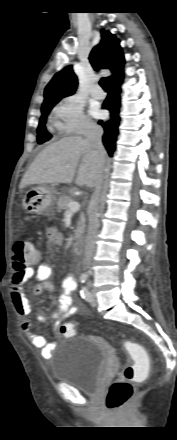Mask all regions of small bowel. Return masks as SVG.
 <instances>
[{"instance_id": "c3829d8e", "label": "small bowel", "mask_w": 177, "mask_h": 440, "mask_svg": "<svg viewBox=\"0 0 177 440\" xmlns=\"http://www.w3.org/2000/svg\"><path fill=\"white\" fill-rule=\"evenodd\" d=\"M47 243L49 246H60L63 244V235L55 228L50 227L46 231ZM34 267H29L23 271H18L12 278L10 290L13 304L17 313L22 317V329L28 335L31 344L41 349L43 357H49L54 349L53 344H48L45 336L32 332V327L41 321L44 316L34 315L32 307L25 294V284L28 280L34 279L37 284L34 293L40 295L44 292L53 293L55 291L54 284L50 281L53 275V269L39 261ZM77 288V282L72 275H68L62 281V294L58 299V310L55 311L51 318L54 325L57 326L64 318L74 313H84L86 309L83 305L77 303L72 294Z\"/></svg>"}]
</instances>
